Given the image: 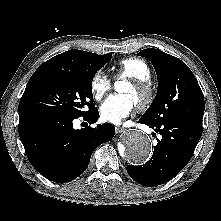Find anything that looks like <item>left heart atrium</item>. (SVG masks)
I'll list each match as a JSON object with an SVG mask.
<instances>
[{
    "instance_id": "left-heart-atrium-1",
    "label": "left heart atrium",
    "mask_w": 221,
    "mask_h": 221,
    "mask_svg": "<svg viewBox=\"0 0 221 221\" xmlns=\"http://www.w3.org/2000/svg\"><path fill=\"white\" fill-rule=\"evenodd\" d=\"M135 108V103L125 94L109 96L100 106L102 120L120 124Z\"/></svg>"
}]
</instances>
